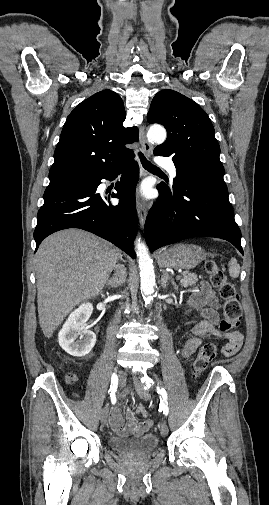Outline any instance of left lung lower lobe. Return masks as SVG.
<instances>
[{
	"label": "left lung lower lobe",
	"instance_id": "1",
	"mask_svg": "<svg viewBox=\"0 0 269 505\" xmlns=\"http://www.w3.org/2000/svg\"><path fill=\"white\" fill-rule=\"evenodd\" d=\"M157 188L160 196L145 223L150 251L203 236L227 240L244 254L222 175L195 167L177 168L173 187L160 183Z\"/></svg>",
	"mask_w": 269,
	"mask_h": 505
}]
</instances>
